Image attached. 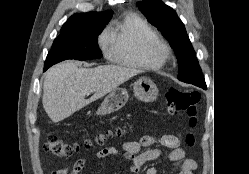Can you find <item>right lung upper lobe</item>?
<instances>
[{
  "instance_id": "cb5924a9",
  "label": "right lung upper lobe",
  "mask_w": 249,
  "mask_h": 174,
  "mask_svg": "<svg viewBox=\"0 0 249 174\" xmlns=\"http://www.w3.org/2000/svg\"><path fill=\"white\" fill-rule=\"evenodd\" d=\"M113 12L111 10L104 12L77 13L72 15L63 25L61 32H66L82 28L95 22H109Z\"/></svg>"
}]
</instances>
